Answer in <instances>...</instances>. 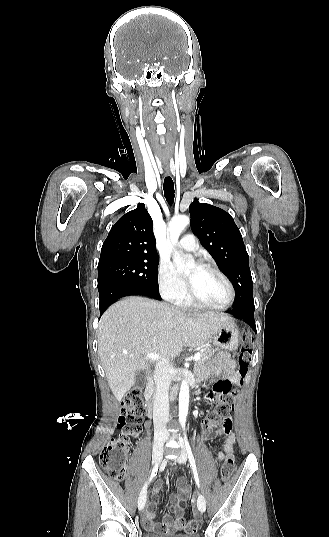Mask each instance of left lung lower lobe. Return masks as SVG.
<instances>
[{
  "label": "left lung lower lobe",
  "mask_w": 329,
  "mask_h": 537,
  "mask_svg": "<svg viewBox=\"0 0 329 537\" xmlns=\"http://www.w3.org/2000/svg\"><path fill=\"white\" fill-rule=\"evenodd\" d=\"M254 307H237L229 310L228 312L235 316L236 318L244 321L256 331L255 321H254Z\"/></svg>",
  "instance_id": "0a47b994"
}]
</instances>
